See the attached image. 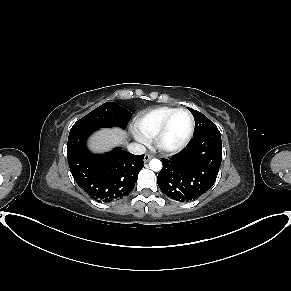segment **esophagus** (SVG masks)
I'll return each instance as SVG.
<instances>
[{
  "instance_id": "obj_1",
  "label": "esophagus",
  "mask_w": 291,
  "mask_h": 291,
  "mask_svg": "<svg viewBox=\"0 0 291 291\" xmlns=\"http://www.w3.org/2000/svg\"><path fill=\"white\" fill-rule=\"evenodd\" d=\"M153 156L151 154H145L144 161L148 162Z\"/></svg>"
}]
</instances>
